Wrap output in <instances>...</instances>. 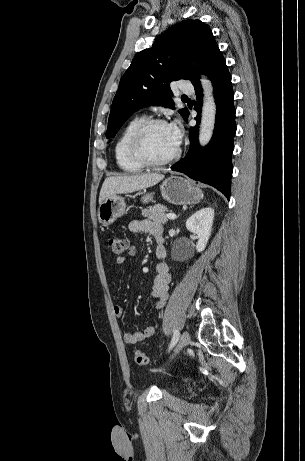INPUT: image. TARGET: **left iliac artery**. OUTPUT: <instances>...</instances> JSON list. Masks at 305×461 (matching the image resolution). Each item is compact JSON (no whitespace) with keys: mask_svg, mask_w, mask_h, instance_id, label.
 <instances>
[{"mask_svg":"<svg viewBox=\"0 0 305 461\" xmlns=\"http://www.w3.org/2000/svg\"><path fill=\"white\" fill-rule=\"evenodd\" d=\"M179 336H180L179 331L175 330L174 334H173V337H172V340H171V343H170V346H169V350L177 343V341L179 339Z\"/></svg>","mask_w":305,"mask_h":461,"instance_id":"44dca946","label":"left iliac artery"}]
</instances>
